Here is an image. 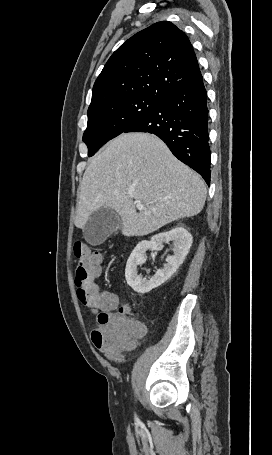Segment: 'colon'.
<instances>
[{
    "instance_id": "colon-1",
    "label": "colon",
    "mask_w": 272,
    "mask_h": 455,
    "mask_svg": "<svg viewBox=\"0 0 272 455\" xmlns=\"http://www.w3.org/2000/svg\"><path fill=\"white\" fill-rule=\"evenodd\" d=\"M73 252L77 297L97 313L91 341L106 356L116 358L135 338L143 335L144 326L129 318L125 308L118 307L117 297L95 281L100 271L101 254L83 242H76Z\"/></svg>"
}]
</instances>
